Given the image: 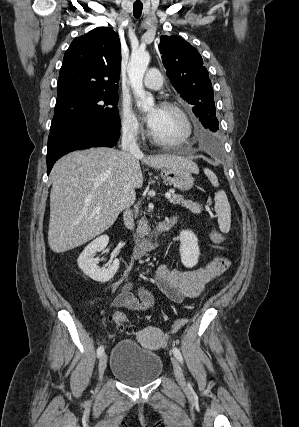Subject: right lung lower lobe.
<instances>
[{
  "label": "right lung lower lobe",
  "mask_w": 299,
  "mask_h": 427,
  "mask_svg": "<svg viewBox=\"0 0 299 427\" xmlns=\"http://www.w3.org/2000/svg\"><path fill=\"white\" fill-rule=\"evenodd\" d=\"M120 128L75 122L50 130L47 152V174L54 163L68 152L91 147H113L120 137Z\"/></svg>",
  "instance_id": "98d812e1"
}]
</instances>
